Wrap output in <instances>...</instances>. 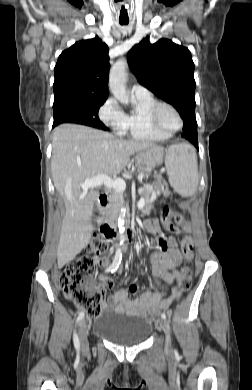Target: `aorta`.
<instances>
[{
  "label": "aorta",
  "instance_id": "aorta-1",
  "mask_svg": "<svg viewBox=\"0 0 252 390\" xmlns=\"http://www.w3.org/2000/svg\"><path fill=\"white\" fill-rule=\"evenodd\" d=\"M126 69L127 61L120 59L111 67L109 74V89L114 97L122 104L129 103V97L126 91ZM125 214L126 208L122 207L118 217L119 240L121 243L126 241Z\"/></svg>",
  "mask_w": 252,
  "mask_h": 390
}]
</instances>
